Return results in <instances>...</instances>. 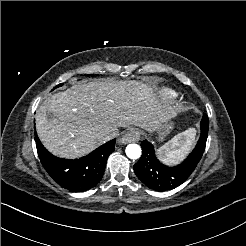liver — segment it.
Wrapping results in <instances>:
<instances>
[{"mask_svg":"<svg viewBox=\"0 0 246 246\" xmlns=\"http://www.w3.org/2000/svg\"><path fill=\"white\" fill-rule=\"evenodd\" d=\"M48 113L53 117L49 119ZM158 113L152 89L146 85L93 81L53 95L38 110L36 128L51 153L77 158L108 141L112 129L129 125L151 128Z\"/></svg>","mask_w":246,"mask_h":246,"instance_id":"obj_1","label":"liver"}]
</instances>
